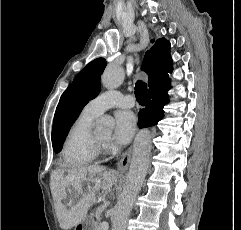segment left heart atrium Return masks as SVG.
Segmentation results:
<instances>
[{
  "label": "left heart atrium",
  "mask_w": 241,
  "mask_h": 230,
  "mask_svg": "<svg viewBox=\"0 0 241 230\" xmlns=\"http://www.w3.org/2000/svg\"><path fill=\"white\" fill-rule=\"evenodd\" d=\"M115 130L113 139L116 144L124 145L131 141L136 130V117L129 110H119L115 114Z\"/></svg>",
  "instance_id": "1"
}]
</instances>
